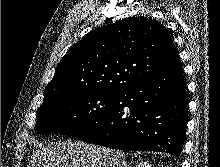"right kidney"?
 <instances>
[{"label":"right kidney","instance_id":"right-kidney-1","mask_svg":"<svg viewBox=\"0 0 220 167\" xmlns=\"http://www.w3.org/2000/svg\"><path fill=\"white\" fill-rule=\"evenodd\" d=\"M136 167H151V165L147 162H140Z\"/></svg>","mask_w":220,"mask_h":167}]
</instances>
